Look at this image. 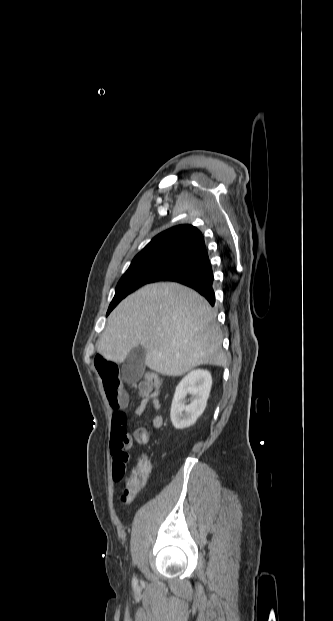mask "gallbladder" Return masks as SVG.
<instances>
[{"instance_id": "1", "label": "gallbladder", "mask_w": 333, "mask_h": 621, "mask_svg": "<svg viewBox=\"0 0 333 621\" xmlns=\"http://www.w3.org/2000/svg\"><path fill=\"white\" fill-rule=\"evenodd\" d=\"M145 369V351L142 346L132 349L122 366V377L127 383L137 382Z\"/></svg>"}]
</instances>
